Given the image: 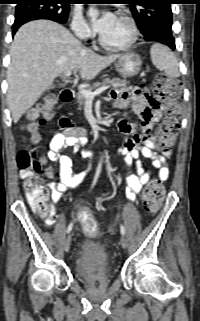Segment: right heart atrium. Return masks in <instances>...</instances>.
I'll return each instance as SVG.
<instances>
[{
  "label": "right heart atrium",
  "mask_w": 200,
  "mask_h": 321,
  "mask_svg": "<svg viewBox=\"0 0 200 321\" xmlns=\"http://www.w3.org/2000/svg\"><path fill=\"white\" fill-rule=\"evenodd\" d=\"M71 29L73 33L80 39L86 40L92 36V31L84 19L83 15L79 11H74L72 21H71Z\"/></svg>",
  "instance_id": "right-heart-atrium-1"
}]
</instances>
